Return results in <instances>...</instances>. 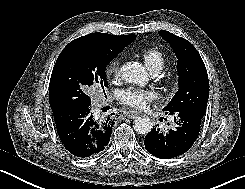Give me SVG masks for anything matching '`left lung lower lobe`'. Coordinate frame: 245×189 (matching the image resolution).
Segmentation results:
<instances>
[{
  "instance_id": "1",
  "label": "left lung lower lobe",
  "mask_w": 245,
  "mask_h": 189,
  "mask_svg": "<svg viewBox=\"0 0 245 189\" xmlns=\"http://www.w3.org/2000/svg\"><path fill=\"white\" fill-rule=\"evenodd\" d=\"M170 114L178 116V119L174 117L176 127L166 131L154 127L144 140L147 151L161 159L173 158L188 151L198 137L203 118L188 110Z\"/></svg>"
}]
</instances>
